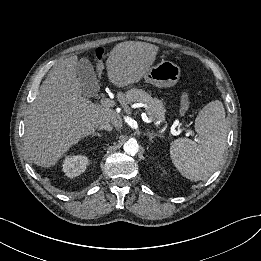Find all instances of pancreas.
I'll return each instance as SVG.
<instances>
[{
    "label": "pancreas",
    "instance_id": "cf45deb5",
    "mask_svg": "<svg viewBox=\"0 0 261 261\" xmlns=\"http://www.w3.org/2000/svg\"><path fill=\"white\" fill-rule=\"evenodd\" d=\"M118 100L122 104H133L142 102L148 106L147 111L150 112L154 120H163L165 118V107L163 102L157 98H153L151 94L142 89L132 88L125 94L120 93Z\"/></svg>",
    "mask_w": 261,
    "mask_h": 261
}]
</instances>
